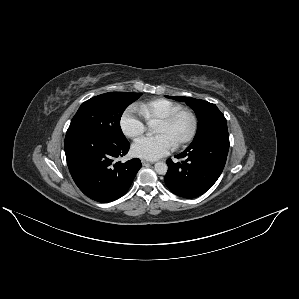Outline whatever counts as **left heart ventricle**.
<instances>
[{"instance_id": "b2bd125f", "label": "left heart ventricle", "mask_w": 299, "mask_h": 299, "mask_svg": "<svg viewBox=\"0 0 299 299\" xmlns=\"http://www.w3.org/2000/svg\"><path fill=\"white\" fill-rule=\"evenodd\" d=\"M192 120L188 114H182L173 124H157L155 132L166 135L174 145L182 141L190 132Z\"/></svg>"}]
</instances>
